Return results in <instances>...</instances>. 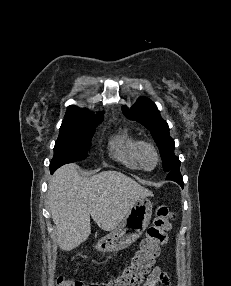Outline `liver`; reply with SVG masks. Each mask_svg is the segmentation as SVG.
I'll return each mask as SVG.
<instances>
[{"mask_svg": "<svg viewBox=\"0 0 231 286\" xmlns=\"http://www.w3.org/2000/svg\"><path fill=\"white\" fill-rule=\"evenodd\" d=\"M153 193L118 171L81 177L77 166L67 164L52 176L48 203L60 246L70 251L91 233L90 215L104 231H113L140 198Z\"/></svg>", "mask_w": 231, "mask_h": 286, "instance_id": "obj_1", "label": "liver"}]
</instances>
